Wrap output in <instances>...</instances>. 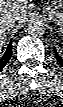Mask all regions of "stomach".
I'll use <instances>...</instances> for the list:
<instances>
[{
    "label": "stomach",
    "instance_id": "1",
    "mask_svg": "<svg viewBox=\"0 0 63 107\" xmlns=\"http://www.w3.org/2000/svg\"><path fill=\"white\" fill-rule=\"evenodd\" d=\"M43 13L63 30V0H54L51 5L43 7Z\"/></svg>",
    "mask_w": 63,
    "mask_h": 107
}]
</instances>
